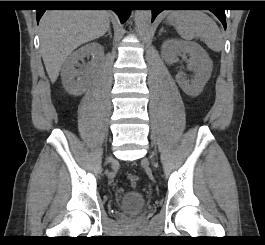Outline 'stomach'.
Returning <instances> with one entry per match:
<instances>
[{
  "mask_svg": "<svg viewBox=\"0 0 265 245\" xmlns=\"http://www.w3.org/2000/svg\"><path fill=\"white\" fill-rule=\"evenodd\" d=\"M167 22H170V19L169 18H167Z\"/></svg>",
  "mask_w": 265,
  "mask_h": 245,
  "instance_id": "obj_1",
  "label": "stomach"
}]
</instances>
